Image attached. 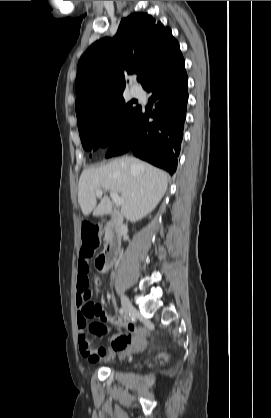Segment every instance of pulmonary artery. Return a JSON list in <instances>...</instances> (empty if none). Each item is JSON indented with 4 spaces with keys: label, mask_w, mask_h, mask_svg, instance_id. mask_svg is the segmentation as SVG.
I'll use <instances>...</instances> for the list:
<instances>
[{
    "label": "pulmonary artery",
    "mask_w": 271,
    "mask_h": 418,
    "mask_svg": "<svg viewBox=\"0 0 271 418\" xmlns=\"http://www.w3.org/2000/svg\"><path fill=\"white\" fill-rule=\"evenodd\" d=\"M131 93L134 97L141 96V90L137 87H133L132 90H131Z\"/></svg>",
    "instance_id": "1"
}]
</instances>
